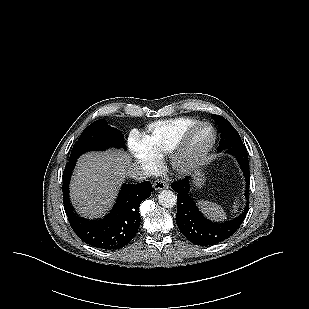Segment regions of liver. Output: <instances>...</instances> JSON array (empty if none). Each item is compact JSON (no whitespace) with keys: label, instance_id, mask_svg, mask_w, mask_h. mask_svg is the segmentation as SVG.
<instances>
[{"label":"liver","instance_id":"1","mask_svg":"<svg viewBox=\"0 0 309 309\" xmlns=\"http://www.w3.org/2000/svg\"><path fill=\"white\" fill-rule=\"evenodd\" d=\"M129 166V156L119 151L81 156L70 187L79 213L89 218L102 216L114 202Z\"/></svg>","mask_w":309,"mask_h":309}]
</instances>
